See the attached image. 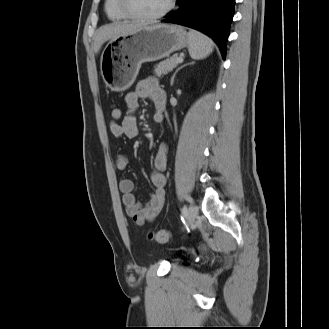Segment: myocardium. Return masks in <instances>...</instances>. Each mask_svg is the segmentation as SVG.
Here are the masks:
<instances>
[{
  "mask_svg": "<svg viewBox=\"0 0 329 329\" xmlns=\"http://www.w3.org/2000/svg\"><path fill=\"white\" fill-rule=\"evenodd\" d=\"M174 5H175V0H168V3L165 6V8L159 13L151 16H144L132 11L128 6V0H118V6L121 12L127 18L141 22H154L165 17L174 8Z\"/></svg>",
  "mask_w": 329,
  "mask_h": 329,
  "instance_id": "f54148a6",
  "label": "myocardium"
}]
</instances>
